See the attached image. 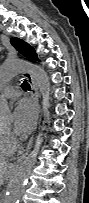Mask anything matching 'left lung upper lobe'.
I'll return each instance as SVG.
<instances>
[{
  "label": "left lung upper lobe",
  "instance_id": "obj_1",
  "mask_svg": "<svg viewBox=\"0 0 89 203\" xmlns=\"http://www.w3.org/2000/svg\"><path fill=\"white\" fill-rule=\"evenodd\" d=\"M11 44L24 56L29 58L30 61H36L37 54L33 47H31L27 42L20 40L19 38H11Z\"/></svg>",
  "mask_w": 89,
  "mask_h": 203
}]
</instances>
